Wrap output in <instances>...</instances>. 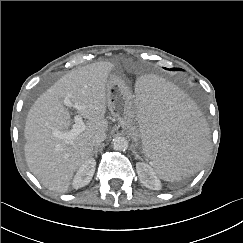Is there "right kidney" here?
Instances as JSON below:
<instances>
[{
	"label": "right kidney",
	"instance_id": "ca27d5eb",
	"mask_svg": "<svg viewBox=\"0 0 243 243\" xmlns=\"http://www.w3.org/2000/svg\"><path fill=\"white\" fill-rule=\"evenodd\" d=\"M96 162L94 159L87 160L74 176L72 186L75 189L86 186L92 179L95 172Z\"/></svg>",
	"mask_w": 243,
	"mask_h": 243
}]
</instances>
